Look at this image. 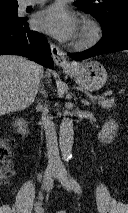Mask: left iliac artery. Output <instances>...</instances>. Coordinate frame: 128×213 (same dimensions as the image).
<instances>
[{
  "instance_id": "44dca946",
  "label": "left iliac artery",
  "mask_w": 128,
  "mask_h": 213,
  "mask_svg": "<svg viewBox=\"0 0 128 213\" xmlns=\"http://www.w3.org/2000/svg\"><path fill=\"white\" fill-rule=\"evenodd\" d=\"M70 181H71V185H72L74 191L76 193H81L82 190H81L79 183L73 177L70 178Z\"/></svg>"
}]
</instances>
